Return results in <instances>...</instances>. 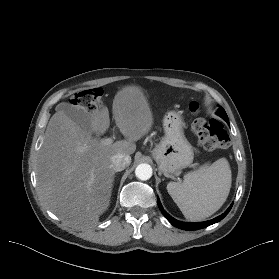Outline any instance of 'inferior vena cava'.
Returning <instances> with one entry per match:
<instances>
[{
    "label": "inferior vena cava",
    "instance_id": "obj_1",
    "mask_svg": "<svg viewBox=\"0 0 279 279\" xmlns=\"http://www.w3.org/2000/svg\"><path fill=\"white\" fill-rule=\"evenodd\" d=\"M111 168L114 171H122L131 163L130 155L125 153H117L111 157Z\"/></svg>",
    "mask_w": 279,
    "mask_h": 279
}]
</instances>
